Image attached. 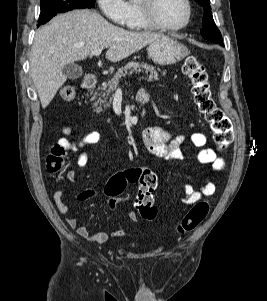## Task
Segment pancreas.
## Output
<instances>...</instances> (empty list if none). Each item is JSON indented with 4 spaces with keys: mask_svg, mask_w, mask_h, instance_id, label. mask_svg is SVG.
Segmentation results:
<instances>
[{
    "mask_svg": "<svg viewBox=\"0 0 267 301\" xmlns=\"http://www.w3.org/2000/svg\"><path fill=\"white\" fill-rule=\"evenodd\" d=\"M130 73L136 72L140 73L143 72L144 74L148 75V81L152 80H158L159 74L162 73V75H166V71H162L160 68H155L152 65H149L147 63H138V62H130L127 63L124 67H121L117 70L113 78L107 82H104L101 84V87L98 88L99 93L95 92L93 97L96 98L99 96L98 100L95 102L96 106V112H101V104H104L107 106V100L110 95H113L114 91L116 90L118 83L120 79L125 76L128 73V70H130Z\"/></svg>",
    "mask_w": 267,
    "mask_h": 301,
    "instance_id": "pancreas-1",
    "label": "pancreas"
}]
</instances>
